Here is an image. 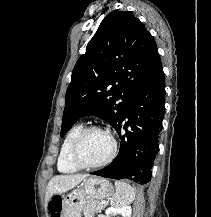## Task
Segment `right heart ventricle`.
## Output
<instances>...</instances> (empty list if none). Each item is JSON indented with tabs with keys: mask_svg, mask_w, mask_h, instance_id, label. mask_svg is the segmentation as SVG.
<instances>
[{
	"mask_svg": "<svg viewBox=\"0 0 211 217\" xmlns=\"http://www.w3.org/2000/svg\"><path fill=\"white\" fill-rule=\"evenodd\" d=\"M83 128L81 123L73 126L63 139L57 160V168L61 173L71 174L80 169L72 161L71 150L75 139Z\"/></svg>",
	"mask_w": 211,
	"mask_h": 217,
	"instance_id": "1",
	"label": "right heart ventricle"
}]
</instances>
